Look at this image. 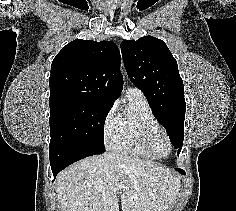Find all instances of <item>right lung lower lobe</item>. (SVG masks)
Instances as JSON below:
<instances>
[{"mask_svg": "<svg viewBox=\"0 0 236 211\" xmlns=\"http://www.w3.org/2000/svg\"><path fill=\"white\" fill-rule=\"evenodd\" d=\"M49 149L50 165L54 177L68 165L87 156L104 152L91 146H59Z\"/></svg>", "mask_w": 236, "mask_h": 211, "instance_id": "obj_1", "label": "right lung lower lobe"}]
</instances>
